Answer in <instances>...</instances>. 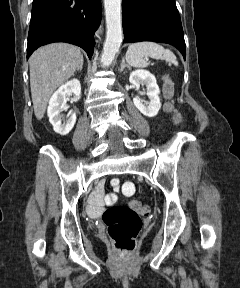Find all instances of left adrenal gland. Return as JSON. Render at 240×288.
Returning <instances> with one entry per match:
<instances>
[{
	"mask_svg": "<svg viewBox=\"0 0 240 288\" xmlns=\"http://www.w3.org/2000/svg\"><path fill=\"white\" fill-rule=\"evenodd\" d=\"M125 67L129 68L128 64L125 63V59L123 57L122 62H121V67H120L119 71L122 72Z\"/></svg>",
	"mask_w": 240,
	"mask_h": 288,
	"instance_id": "left-adrenal-gland-1",
	"label": "left adrenal gland"
}]
</instances>
